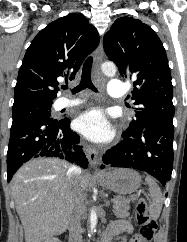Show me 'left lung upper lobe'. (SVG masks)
<instances>
[{"instance_id": "left-lung-upper-lobe-1", "label": "left lung upper lobe", "mask_w": 187, "mask_h": 242, "mask_svg": "<svg viewBox=\"0 0 187 242\" xmlns=\"http://www.w3.org/2000/svg\"><path fill=\"white\" fill-rule=\"evenodd\" d=\"M103 45L121 76L136 78L132 98L139 107L126 132L152 127L174 129L171 73L156 33L140 20L125 16L105 34Z\"/></svg>"}]
</instances>
